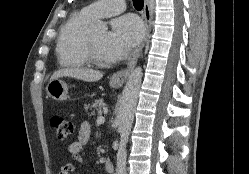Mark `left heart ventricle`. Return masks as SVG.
Wrapping results in <instances>:
<instances>
[{
    "label": "left heart ventricle",
    "mask_w": 249,
    "mask_h": 174,
    "mask_svg": "<svg viewBox=\"0 0 249 174\" xmlns=\"http://www.w3.org/2000/svg\"><path fill=\"white\" fill-rule=\"evenodd\" d=\"M108 32L101 31L97 33L91 34L93 45L97 56L103 61H110L107 47H106V40H107Z\"/></svg>",
    "instance_id": "left-heart-ventricle-1"
}]
</instances>
